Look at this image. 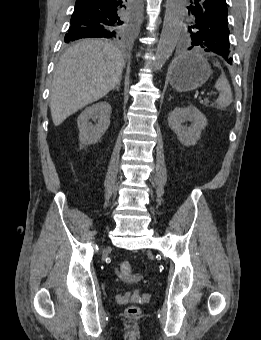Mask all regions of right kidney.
Listing matches in <instances>:
<instances>
[{
  "label": "right kidney",
  "mask_w": 261,
  "mask_h": 340,
  "mask_svg": "<svg viewBox=\"0 0 261 340\" xmlns=\"http://www.w3.org/2000/svg\"><path fill=\"white\" fill-rule=\"evenodd\" d=\"M111 106L102 101L87 107L78 117L80 148L86 145L96 144L110 125ZM97 121L95 125L89 122Z\"/></svg>",
  "instance_id": "right-kidney-1"
}]
</instances>
